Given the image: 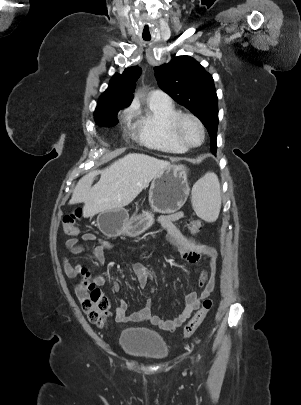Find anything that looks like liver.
<instances>
[{"mask_svg":"<svg viewBox=\"0 0 301 405\" xmlns=\"http://www.w3.org/2000/svg\"><path fill=\"white\" fill-rule=\"evenodd\" d=\"M169 163L154 157L129 153L101 171H92L77 183L71 204L84 203V217L122 209L145 189ZM100 180L92 186L95 177Z\"/></svg>","mask_w":301,"mask_h":405,"instance_id":"6515ba94","label":"liver"}]
</instances>
